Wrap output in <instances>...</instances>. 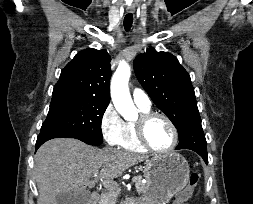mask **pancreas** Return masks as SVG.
I'll return each mask as SVG.
<instances>
[{
    "instance_id": "1",
    "label": "pancreas",
    "mask_w": 253,
    "mask_h": 204,
    "mask_svg": "<svg viewBox=\"0 0 253 204\" xmlns=\"http://www.w3.org/2000/svg\"><path fill=\"white\" fill-rule=\"evenodd\" d=\"M138 177V181L136 182V190L137 192L144 193L147 191L148 187L146 184L142 182V178ZM120 193V188L117 184H111L108 188V191L104 193L98 202V204H116L117 196Z\"/></svg>"
}]
</instances>
